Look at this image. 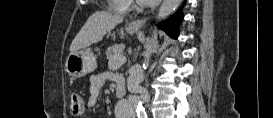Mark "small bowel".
Masks as SVG:
<instances>
[{
    "label": "small bowel",
    "instance_id": "c3829d8e",
    "mask_svg": "<svg viewBox=\"0 0 273 118\" xmlns=\"http://www.w3.org/2000/svg\"><path fill=\"white\" fill-rule=\"evenodd\" d=\"M111 79L116 81L117 79L123 80L122 77L116 75H95L91 78V85H90V94L87 101V105L91 108L95 107L98 104L99 96L103 89V86L106 80ZM131 114V108L125 104H119L115 109L116 118H125L129 117Z\"/></svg>",
    "mask_w": 273,
    "mask_h": 118
}]
</instances>
